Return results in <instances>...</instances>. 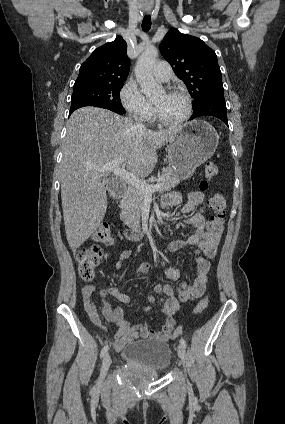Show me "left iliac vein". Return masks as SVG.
Segmentation results:
<instances>
[{"label":"left iliac vein","mask_w":285,"mask_h":424,"mask_svg":"<svg viewBox=\"0 0 285 424\" xmlns=\"http://www.w3.org/2000/svg\"><path fill=\"white\" fill-rule=\"evenodd\" d=\"M178 356L180 357V359L184 363L185 359H186V350H185V347L181 344L178 346Z\"/></svg>","instance_id":"1"}]
</instances>
